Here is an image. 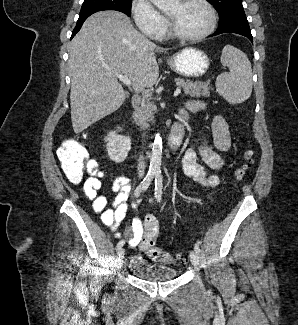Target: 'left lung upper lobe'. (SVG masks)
<instances>
[{
    "label": "left lung upper lobe",
    "instance_id": "obj_1",
    "mask_svg": "<svg viewBox=\"0 0 298 325\" xmlns=\"http://www.w3.org/2000/svg\"><path fill=\"white\" fill-rule=\"evenodd\" d=\"M219 13V23H223L227 19L244 14L242 0H211Z\"/></svg>",
    "mask_w": 298,
    "mask_h": 325
}]
</instances>
